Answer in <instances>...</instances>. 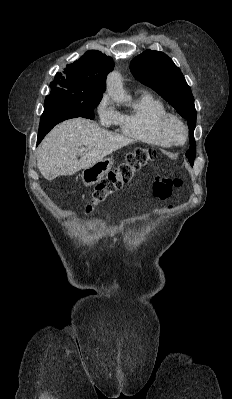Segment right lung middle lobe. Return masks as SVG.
I'll use <instances>...</instances> for the list:
<instances>
[{"label": "right lung middle lobe", "instance_id": "1", "mask_svg": "<svg viewBox=\"0 0 232 399\" xmlns=\"http://www.w3.org/2000/svg\"><path fill=\"white\" fill-rule=\"evenodd\" d=\"M51 92L45 98V106H60L70 111L94 115V109L103 93L68 92L50 83Z\"/></svg>", "mask_w": 232, "mask_h": 399}]
</instances>
